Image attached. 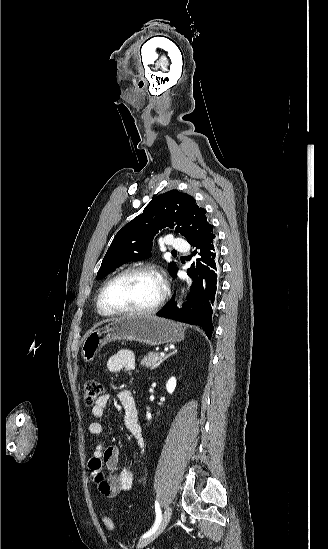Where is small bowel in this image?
I'll return each mask as SVG.
<instances>
[{"instance_id": "c3829d8e", "label": "small bowel", "mask_w": 328, "mask_h": 549, "mask_svg": "<svg viewBox=\"0 0 328 549\" xmlns=\"http://www.w3.org/2000/svg\"><path fill=\"white\" fill-rule=\"evenodd\" d=\"M107 370L112 373L135 368V355L129 350H120L109 357L106 363ZM118 400L124 411V424L128 432L137 440L139 447L144 451L145 441L139 422L138 409L135 399L129 390L122 389L118 393ZM110 396L101 395L93 405L91 412L95 418L105 415ZM104 427L99 421L89 424V432L94 436L103 434ZM91 478L101 495L114 498L121 492L132 489L135 482L133 470L127 466L119 467V448L115 445L104 447L97 443L88 461ZM107 470L108 474H105Z\"/></svg>"}]
</instances>
